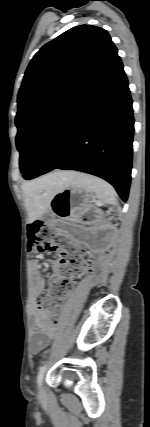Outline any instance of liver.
Segmentation results:
<instances>
[{"label":"liver","mask_w":150,"mask_h":427,"mask_svg":"<svg viewBox=\"0 0 150 427\" xmlns=\"http://www.w3.org/2000/svg\"><path fill=\"white\" fill-rule=\"evenodd\" d=\"M76 172L56 171L22 184L30 221L40 218L49 208L53 196L74 182Z\"/></svg>","instance_id":"6515ba94"}]
</instances>
